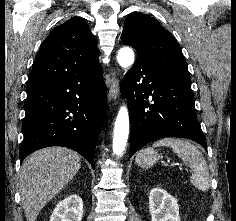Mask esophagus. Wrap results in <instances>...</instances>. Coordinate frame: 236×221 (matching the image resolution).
Segmentation results:
<instances>
[{"label":"esophagus","instance_id":"obj_1","mask_svg":"<svg viewBox=\"0 0 236 221\" xmlns=\"http://www.w3.org/2000/svg\"><path fill=\"white\" fill-rule=\"evenodd\" d=\"M119 81L116 77V73L112 74L111 85L109 89V101L113 102L118 95Z\"/></svg>","mask_w":236,"mask_h":221}]
</instances>
